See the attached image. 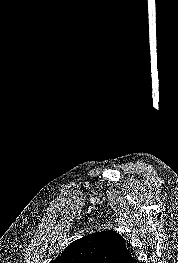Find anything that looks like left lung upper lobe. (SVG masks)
<instances>
[{
    "mask_svg": "<svg viewBox=\"0 0 178 263\" xmlns=\"http://www.w3.org/2000/svg\"><path fill=\"white\" fill-rule=\"evenodd\" d=\"M126 240L117 232H96L71 243L50 263H109L120 254Z\"/></svg>",
    "mask_w": 178,
    "mask_h": 263,
    "instance_id": "1",
    "label": "left lung upper lobe"
}]
</instances>
